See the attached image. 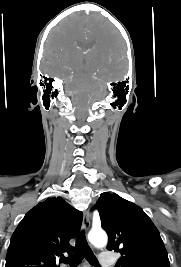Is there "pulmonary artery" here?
<instances>
[{
	"instance_id": "obj_1",
	"label": "pulmonary artery",
	"mask_w": 181,
	"mask_h": 267,
	"mask_svg": "<svg viewBox=\"0 0 181 267\" xmlns=\"http://www.w3.org/2000/svg\"><path fill=\"white\" fill-rule=\"evenodd\" d=\"M99 263L102 267H111V265L114 263V260L112 256L103 253L99 257Z\"/></svg>"
}]
</instances>
